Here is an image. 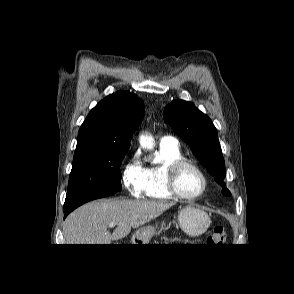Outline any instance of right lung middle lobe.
<instances>
[{
    "mask_svg": "<svg viewBox=\"0 0 294 294\" xmlns=\"http://www.w3.org/2000/svg\"><path fill=\"white\" fill-rule=\"evenodd\" d=\"M128 148H76L64 206L86 197L121 191L122 160Z\"/></svg>",
    "mask_w": 294,
    "mask_h": 294,
    "instance_id": "dd1d6c3e",
    "label": "right lung middle lobe"
}]
</instances>
